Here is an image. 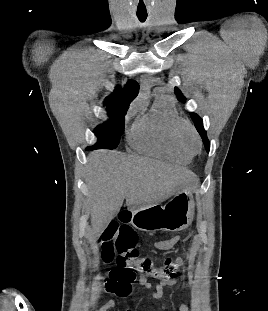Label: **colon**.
Wrapping results in <instances>:
<instances>
[{
	"label": "colon",
	"mask_w": 268,
	"mask_h": 311,
	"mask_svg": "<svg viewBox=\"0 0 268 311\" xmlns=\"http://www.w3.org/2000/svg\"><path fill=\"white\" fill-rule=\"evenodd\" d=\"M100 242L103 261L116 263L105 280L106 288L122 297L132 292V283L138 274L156 278H173L177 276L185 261L183 257L167 258L162 266L156 267L151 257L140 256L137 250V233L128 226H119L115 223H110L106 227Z\"/></svg>",
	"instance_id": "obj_1"
}]
</instances>
